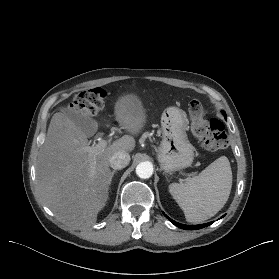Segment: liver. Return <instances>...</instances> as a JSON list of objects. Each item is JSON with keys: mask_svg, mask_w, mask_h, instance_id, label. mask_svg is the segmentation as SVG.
I'll use <instances>...</instances> for the list:
<instances>
[{"mask_svg": "<svg viewBox=\"0 0 279 279\" xmlns=\"http://www.w3.org/2000/svg\"><path fill=\"white\" fill-rule=\"evenodd\" d=\"M114 116L119 126L133 135L140 133L146 123L145 109L135 94L117 99ZM87 146L88 135L63 112H57L37 160L36 182L43 202L75 230L96 222L108 199L109 158L117 151H132L135 140L124 136L92 154L85 150Z\"/></svg>", "mask_w": 279, "mask_h": 279, "instance_id": "1", "label": "liver"}]
</instances>
